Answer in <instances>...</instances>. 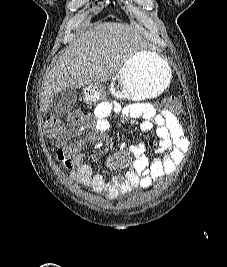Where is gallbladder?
I'll return each instance as SVG.
<instances>
[{
  "instance_id": "gallbladder-1",
  "label": "gallbladder",
  "mask_w": 227,
  "mask_h": 267,
  "mask_svg": "<svg viewBox=\"0 0 227 267\" xmlns=\"http://www.w3.org/2000/svg\"><path fill=\"white\" fill-rule=\"evenodd\" d=\"M77 101V91L75 89H64L57 93L49 108L48 113L53 116H62L71 111Z\"/></svg>"
}]
</instances>
